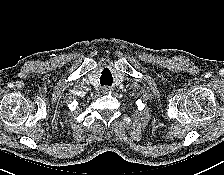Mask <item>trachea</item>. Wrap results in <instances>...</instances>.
Returning <instances> with one entry per match:
<instances>
[{"instance_id":"1","label":"trachea","mask_w":224,"mask_h":175,"mask_svg":"<svg viewBox=\"0 0 224 175\" xmlns=\"http://www.w3.org/2000/svg\"><path fill=\"white\" fill-rule=\"evenodd\" d=\"M113 82L112 75L110 73H107L106 70L102 72V76L100 77V83L101 85H108L111 86Z\"/></svg>"}]
</instances>
